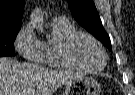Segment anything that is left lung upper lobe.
I'll return each mask as SVG.
<instances>
[{
    "label": "left lung upper lobe",
    "instance_id": "1",
    "mask_svg": "<svg viewBox=\"0 0 135 95\" xmlns=\"http://www.w3.org/2000/svg\"><path fill=\"white\" fill-rule=\"evenodd\" d=\"M67 1L75 20L111 51L112 48L109 35L102 26L93 0Z\"/></svg>",
    "mask_w": 135,
    "mask_h": 95
}]
</instances>
